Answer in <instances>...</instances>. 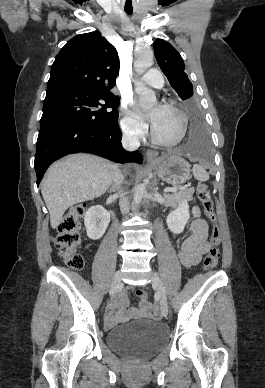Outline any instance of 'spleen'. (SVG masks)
<instances>
[{
  "mask_svg": "<svg viewBox=\"0 0 265 388\" xmlns=\"http://www.w3.org/2000/svg\"><path fill=\"white\" fill-rule=\"evenodd\" d=\"M193 176L194 178H197V180H200V182H205V180H208L209 178L205 170H203L201 166H198V164H194L193 166Z\"/></svg>",
  "mask_w": 265,
  "mask_h": 388,
  "instance_id": "3e777b00",
  "label": "spleen"
}]
</instances>
